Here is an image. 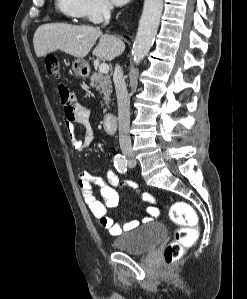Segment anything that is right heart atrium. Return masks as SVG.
<instances>
[{
	"instance_id": "1",
	"label": "right heart atrium",
	"mask_w": 247,
	"mask_h": 299,
	"mask_svg": "<svg viewBox=\"0 0 247 299\" xmlns=\"http://www.w3.org/2000/svg\"><path fill=\"white\" fill-rule=\"evenodd\" d=\"M80 18L89 22L97 23L107 17L111 11V5L108 0H79Z\"/></svg>"
}]
</instances>
